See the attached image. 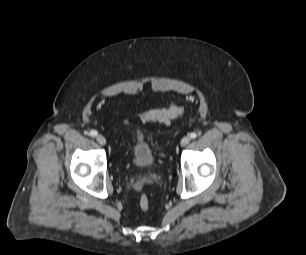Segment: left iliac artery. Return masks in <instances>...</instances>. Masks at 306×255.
I'll use <instances>...</instances> for the list:
<instances>
[{
    "instance_id": "left-iliac-artery-1",
    "label": "left iliac artery",
    "mask_w": 306,
    "mask_h": 255,
    "mask_svg": "<svg viewBox=\"0 0 306 255\" xmlns=\"http://www.w3.org/2000/svg\"><path fill=\"white\" fill-rule=\"evenodd\" d=\"M190 137H191L192 139H195V138L197 137V133H195V132L191 133V134H190Z\"/></svg>"
}]
</instances>
